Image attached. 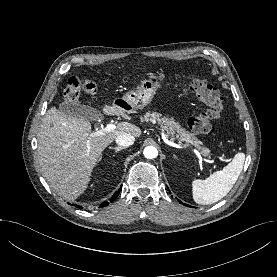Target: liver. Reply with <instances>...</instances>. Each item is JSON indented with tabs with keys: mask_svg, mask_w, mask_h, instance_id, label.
Instances as JSON below:
<instances>
[{
	"mask_svg": "<svg viewBox=\"0 0 277 277\" xmlns=\"http://www.w3.org/2000/svg\"><path fill=\"white\" fill-rule=\"evenodd\" d=\"M102 110L106 115L132 119L128 111L117 105L105 104ZM124 133L139 137L141 130L130 122H121L115 130L91 137L89 121L50 108L37 135L38 161L43 176L65 199H76L86 190L104 149Z\"/></svg>",
	"mask_w": 277,
	"mask_h": 277,
	"instance_id": "liver-1",
	"label": "liver"
}]
</instances>
